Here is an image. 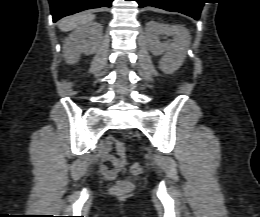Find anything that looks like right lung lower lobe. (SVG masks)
I'll use <instances>...</instances> for the list:
<instances>
[{"label": "right lung lower lobe", "instance_id": "1", "mask_svg": "<svg viewBox=\"0 0 260 217\" xmlns=\"http://www.w3.org/2000/svg\"><path fill=\"white\" fill-rule=\"evenodd\" d=\"M113 0H49L53 22L86 9L111 7Z\"/></svg>", "mask_w": 260, "mask_h": 217}]
</instances>
